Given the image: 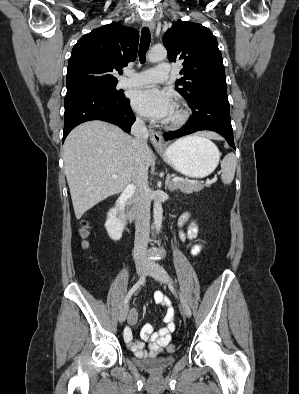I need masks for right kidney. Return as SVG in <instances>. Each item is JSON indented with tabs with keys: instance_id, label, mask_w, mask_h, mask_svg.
Returning <instances> with one entry per match:
<instances>
[{
	"instance_id": "right-kidney-1",
	"label": "right kidney",
	"mask_w": 299,
	"mask_h": 394,
	"mask_svg": "<svg viewBox=\"0 0 299 394\" xmlns=\"http://www.w3.org/2000/svg\"><path fill=\"white\" fill-rule=\"evenodd\" d=\"M117 212L118 210L116 208L110 209L105 222L107 233L114 241H118L122 238V231L124 229L123 222L117 218Z\"/></svg>"
}]
</instances>
